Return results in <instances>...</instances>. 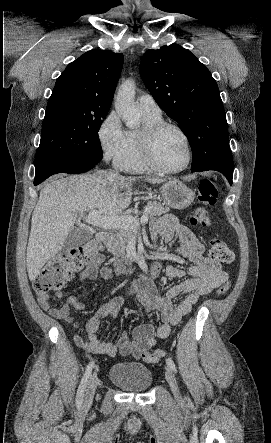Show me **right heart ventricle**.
I'll list each match as a JSON object with an SVG mask.
<instances>
[{"mask_svg": "<svg viewBox=\"0 0 271 443\" xmlns=\"http://www.w3.org/2000/svg\"><path fill=\"white\" fill-rule=\"evenodd\" d=\"M145 127L148 125L161 121L162 117L158 116H144ZM141 131L130 132L127 134L128 139V153L121 164V168L131 173H142L151 168L145 163L142 149H141Z\"/></svg>", "mask_w": 271, "mask_h": 443, "instance_id": "1", "label": "right heart ventricle"}]
</instances>
